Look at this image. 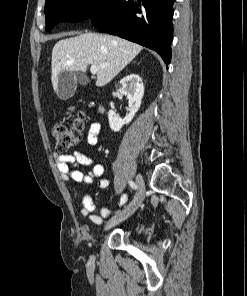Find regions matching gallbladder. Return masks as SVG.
<instances>
[{"instance_id": "obj_1", "label": "gallbladder", "mask_w": 247, "mask_h": 296, "mask_svg": "<svg viewBox=\"0 0 247 296\" xmlns=\"http://www.w3.org/2000/svg\"><path fill=\"white\" fill-rule=\"evenodd\" d=\"M77 79L83 85L88 83V79L83 75H78ZM77 79L75 74L68 71L59 74L57 95L61 100H68L74 95Z\"/></svg>"}]
</instances>
